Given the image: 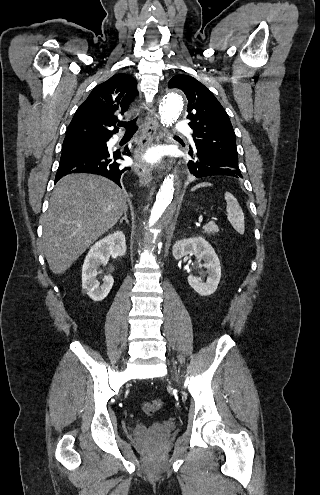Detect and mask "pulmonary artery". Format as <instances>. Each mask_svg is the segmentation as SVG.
<instances>
[{
	"label": "pulmonary artery",
	"instance_id": "1",
	"mask_svg": "<svg viewBox=\"0 0 320 495\" xmlns=\"http://www.w3.org/2000/svg\"><path fill=\"white\" fill-rule=\"evenodd\" d=\"M175 128L179 131H183L187 128V124L184 121H180L176 124ZM118 138H115V141H117Z\"/></svg>",
	"mask_w": 320,
	"mask_h": 495
}]
</instances>
